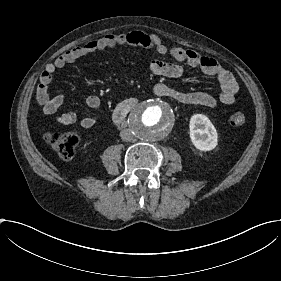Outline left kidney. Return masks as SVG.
I'll return each mask as SVG.
<instances>
[{"instance_id":"left-kidney-1","label":"left kidney","mask_w":281,"mask_h":281,"mask_svg":"<svg viewBox=\"0 0 281 281\" xmlns=\"http://www.w3.org/2000/svg\"><path fill=\"white\" fill-rule=\"evenodd\" d=\"M190 138L201 151H209L217 146V131L207 116L195 114L190 119Z\"/></svg>"}]
</instances>
